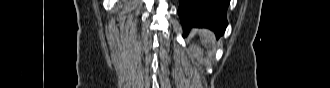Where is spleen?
I'll return each mask as SVG.
<instances>
[{
  "label": "spleen",
  "mask_w": 330,
  "mask_h": 88,
  "mask_svg": "<svg viewBox=\"0 0 330 88\" xmlns=\"http://www.w3.org/2000/svg\"><path fill=\"white\" fill-rule=\"evenodd\" d=\"M202 37L208 43H212V41H213V35L209 31L204 30L202 32Z\"/></svg>",
  "instance_id": "3e777b00"
}]
</instances>
